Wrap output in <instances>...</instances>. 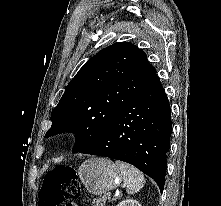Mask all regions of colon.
Here are the masks:
<instances>
[{
    "mask_svg": "<svg viewBox=\"0 0 221 206\" xmlns=\"http://www.w3.org/2000/svg\"><path fill=\"white\" fill-rule=\"evenodd\" d=\"M80 184L76 171L70 166H58L46 177L40 206H59L79 195Z\"/></svg>",
    "mask_w": 221,
    "mask_h": 206,
    "instance_id": "1",
    "label": "colon"
}]
</instances>
